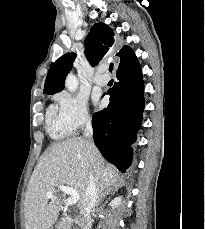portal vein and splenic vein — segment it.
Masks as SVG:
<instances>
[{
  "label": "portal vein and splenic vein",
  "instance_id": "18ae733b",
  "mask_svg": "<svg viewBox=\"0 0 205 229\" xmlns=\"http://www.w3.org/2000/svg\"><path fill=\"white\" fill-rule=\"evenodd\" d=\"M57 190H60L64 192L65 194L69 195L67 199V205H73L77 203L80 198L78 192L75 189H73L72 187L65 186V185H59L57 186ZM53 194H54L53 190L47 192L46 198L51 199L53 197Z\"/></svg>",
  "mask_w": 205,
  "mask_h": 229
}]
</instances>
